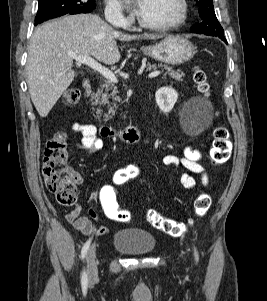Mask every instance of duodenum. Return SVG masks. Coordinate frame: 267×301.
<instances>
[{
    "label": "duodenum",
    "mask_w": 267,
    "mask_h": 301,
    "mask_svg": "<svg viewBox=\"0 0 267 301\" xmlns=\"http://www.w3.org/2000/svg\"><path fill=\"white\" fill-rule=\"evenodd\" d=\"M83 88L86 92H90L92 87L89 81H84ZM101 135L108 138H116L121 141L133 143L140 139V130L136 126L128 127L125 129L112 128L106 125L100 127Z\"/></svg>",
    "instance_id": "1"
}]
</instances>
